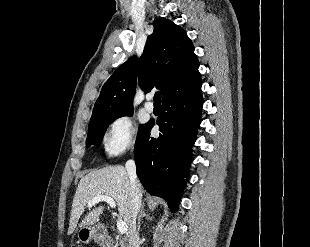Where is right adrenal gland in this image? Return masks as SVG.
I'll return each mask as SVG.
<instances>
[{
	"label": "right adrenal gland",
	"instance_id": "1",
	"mask_svg": "<svg viewBox=\"0 0 310 247\" xmlns=\"http://www.w3.org/2000/svg\"><path fill=\"white\" fill-rule=\"evenodd\" d=\"M144 204L142 205V207H141V210H140V212H139V216H138V231L140 230V222H141V219L142 218H144V217H146V218H150V216H149V214H146L145 213V209H144Z\"/></svg>",
	"mask_w": 310,
	"mask_h": 247
}]
</instances>
